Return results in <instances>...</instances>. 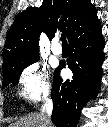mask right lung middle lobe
Returning a JSON list of instances; mask_svg holds the SVG:
<instances>
[{
	"label": "right lung middle lobe",
	"instance_id": "obj_1",
	"mask_svg": "<svg viewBox=\"0 0 108 127\" xmlns=\"http://www.w3.org/2000/svg\"><path fill=\"white\" fill-rule=\"evenodd\" d=\"M39 60V55L18 61L16 63L7 64L2 66L3 72V83L2 87L7 86L9 83H13L14 85L18 84L19 77L23 69H25L30 64Z\"/></svg>",
	"mask_w": 108,
	"mask_h": 127
}]
</instances>
